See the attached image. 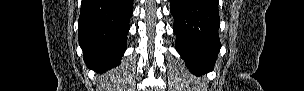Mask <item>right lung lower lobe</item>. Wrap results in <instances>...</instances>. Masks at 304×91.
Wrapping results in <instances>:
<instances>
[{
	"mask_svg": "<svg viewBox=\"0 0 304 91\" xmlns=\"http://www.w3.org/2000/svg\"><path fill=\"white\" fill-rule=\"evenodd\" d=\"M132 12L133 0H82L78 38L86 64L99 71L120 64Z\"/></svg>",
	"mask_w": 304,
	"mask_h": 91,
	"instance_id": "98d812e1",
	"label": "right lung lower lobe"
}]
</instances>
